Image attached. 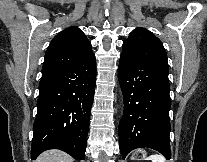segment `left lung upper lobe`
Here are the masks:
<instances>
[{"label": "left lung upper lobe", "mask_w": 207, "mask_h": 162, "mask_svg": "<svg viewBox=\"0 0 207 162\" xmlns=\"http://www.w3.org/2000/svg\"><path fill=\"white\" fill-rule=\"evenodd\" d=\"M121 57L168 72L167 55L161 41L144 28L130 33L123 43Z\"/></svg>", "instance_id": "obj_1"}]
</instances>
